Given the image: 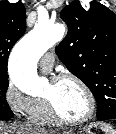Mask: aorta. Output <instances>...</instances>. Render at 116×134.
Returning a JSON list of instances; mask_svg holds the SVG:
<instances>
[{
    "instance_id": "1",
    "label": "aorta",
    "mask_w": 116,
    "mask_h": 134,
    "mask_svg": "<svg viewBox=\"0 0 116 134\" xmlns=\"http://www.w3.org/2000/svg\"><path fill=\"white\" fill-rule=\"evenodd\" d=\"M65 33L62 25L38 22L13 48L9 60V75L14 85L29 95L38 94L46 80L37 74L39 58Z\"/></svg>"
}]
</instances>
